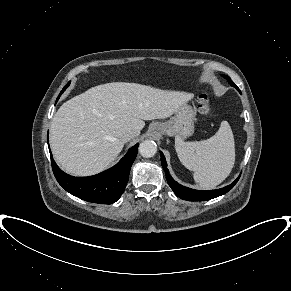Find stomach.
I'll return each mask as SVG.
<instances>
[{
    "mask_svg": "<svg viewBox=\"0 0 291 291\" xmlns=\"http://www.w3.org/2000/svg\"><path fill=\"white\" fill-rule=\"evenodd\" d=\"M195 111L187 104L182 105L167 122L159 123L157 130L167 136L184 139L194 131Z\"/></svg>",
    "mask_w": 291,
    "mask_h": 291,
    "instance_id": "0dacf381",
    "label": "stomach"
}]
</instances>
